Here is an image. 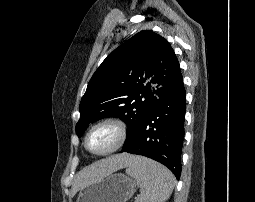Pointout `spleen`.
Returning a JSON list of instances; mask_svg holds the SVG:
<instances>
[{
  "mask_svg": "<svg viewBox=\"0 0 255 202\" xmlns=\"http://www.w3.org/2000/svg\"><path fill=\"white\" fill-rule=\"evenodd\" d=\"M126 173L141 188L135 202H165L175 186V177L166 167L144 157H137Z\"/></svg>",
  "mask_w": 255,
  "mask_h": 202,
  "instance_id": "obj_1",
  "label": "spleen"
}]
</instances>
